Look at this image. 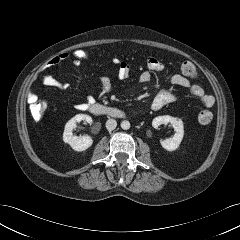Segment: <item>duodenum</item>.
<instances>
[{
  "mask_svg": "<svg viewBox=\"0 0 240 240\" xmlns=\"http://www.w3.org/2000/svg\"><path fill=\"white\" fill-rule=\"evenodd\" d=\"M94 114H106L112 117H122L123 112L116 108L107 107L101 104H93L89 107Z\"/></svg>",
  "mask_w": 240,
  "mask_h": 240,
  "instance_id": "duodenum-1",
  "label": "duodenum"
}]
</instances>
